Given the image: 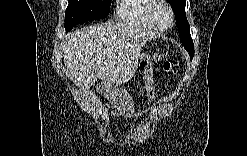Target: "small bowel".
Instances as JSON below:
<instances>
[{
	"label": "small bowel",
	"instance_id": "small-bowel-1",
	"mask_svg": "<svg viewBox=\"0 0 247 156\" xmlns=\"http://www.w3.org/2000/svg\"><path fill=\"white\" fill-rule=\"evenodd\" d=\"M153 70H154L153 64L149 61L145 62V64L142 67L146 88L150 98H153L155 94Z\"/></svg>",
	"mask_w": 247,
	"mask_h": 156
}]
</instances>
